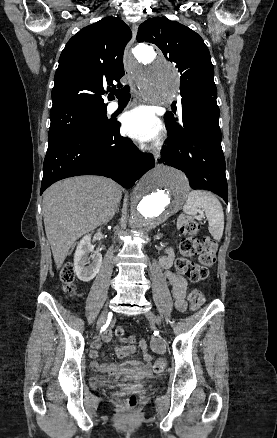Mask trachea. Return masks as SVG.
I'll use <instances>...</instances> for the list:
<instances>
[{"instance_id":"1","label":"trachea","mask_w":277,"mask_h":438,"mask_svg":"<svg viewBox=\"0 0 277 438\" xmlns=\"http://www.w3.org/2000/svg\"><path fill=\"white\" fill-rule=\"evenodd\" d=\"M110 93L115 95L118 98V100H129L130 99L129 85H126L125 87L121 88L120 90H110Z\"/></svg>"}]
</instances>
